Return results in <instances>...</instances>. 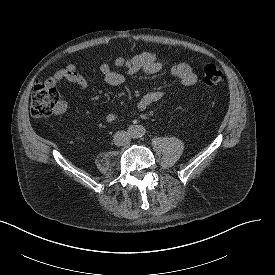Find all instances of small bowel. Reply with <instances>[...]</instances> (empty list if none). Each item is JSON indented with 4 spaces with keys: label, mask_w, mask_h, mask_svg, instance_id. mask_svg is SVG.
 Segmentation results:
<instances>
[{
    "label": "small bowel",
    "mask_w": 275,
    "mask_h": 275,
    "mask_svg": "<svg viewBox=\"0 0 275 275\" xmlns=\"http://www.w3.org/2000/svg\"><path fill=\"white\" fill-rule=\"evenodd\" d=\"M115 68V69H114ZM114 68L109 63H102L100 66V73L104 81L110 86H119L125 81V74L117 69H124L128 75H134L140 72L153 75L160 73L164 66L158 60L157 56L152 52H143L132 57H118L114 61ZM168 73L180 80L184 86H193L197 82V75L193 68L186 63L173 64L168 67ZM64 81L76 84L82 90L88 88V81L82 76L75 65L70 64L65 68L57 71L48 83L52 86L58 85ZM164 97V93L161 90H153L145 95L137 103V110L144 111L151 105L159 102ZM65 103L61 102L55 110V114L59 115L65 111ZM118 119L115 114H108L106 120L109 123H114Z\"/></svg>",
    "instance_id": "1"
}]
</instances>
